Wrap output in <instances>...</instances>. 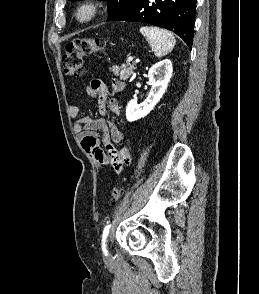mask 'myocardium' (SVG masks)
I'll return each mask as SVG.
<instances>
[{
    "mask_svg": "<svg viewBox=\"0 0 259 294\" xmlns=\"http://www.w3.org/2000/svg\"><path fill=\"white\" fill-rule=\"evenodd\" d=\"M101 11L100 4L95 0L83 2L75 12L76 21L79 23H88L95 19Z\"/></svg>",
    "mask_w": 259,
    "mask_h": 294,
    "instance_id": "f54148a6",
    "label": "myocardium"
}]
</instances>
